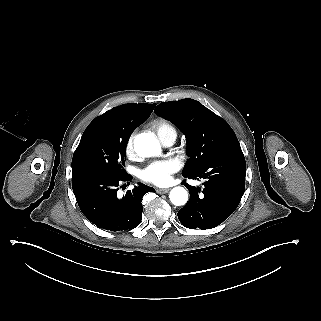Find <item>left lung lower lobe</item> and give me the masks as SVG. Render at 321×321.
<instances>
[{"label":"left lung lower lobe","mask_w":321,"mask_h":321,"mask_svg":"<svg viewBox=\"0 0 321 321\" xmlns=\"http://www.w3.org/2000/svg\"><path fill=\"white\" fill-rule=\"evenodd\" d=\"M183 176L203 179L204 188L201 191L199 187L183 182L190 199L178 212L180 222L190 229L214 228L235 211L244 194L245 158L242 151L225 154L214 158L199 171Z\"/></svg>","instance_id":"left-lung-lower-lobe-1"}]
</instances>
